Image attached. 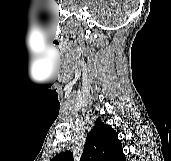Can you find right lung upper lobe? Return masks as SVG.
I'll list each match as a JSON object with an SVG mask.
<instances>
[{"label": "right lung upper lobe", "mask_w": 171, "mask_h": 161, "mask_svg": "<svg viewBox=\"0 0 171 161\" xmlns=\"http://www.w3.org/2000/svg\"><path fill=\"white\" fill-rule=\"evenodd\" d=\"M52 161H74V158L70 151H65ZM80 161H126L116 131L96 120L94 128L87 134Z\"/></svg>", "instance_id": "right-lung-upper-lobe-1"}]
</instances>
